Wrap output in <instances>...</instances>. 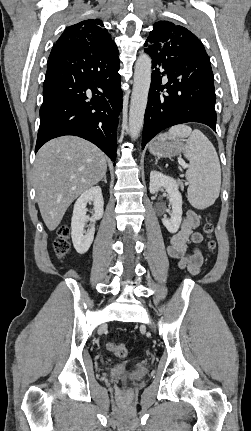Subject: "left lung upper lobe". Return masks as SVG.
Listing matches in <instances>:
<instances>
[{"label":"left lung upper lobe","mask_w":251,"mask_h":431,"mask_svg":"<svg viewBox=\"0 0 251 431\" xmlns=\"http://www.w3.org/2000/svg\"><path fill=\"white\" fill-rule=\"evenodd\" d=\"M149 37L160 41L162 44H167L168 46L176 45L180 47H189L203 56L208 57L203 44L193 33L171 22H156Z\"/></svg>","instance_id":"left-lung-upper-lobe-1"}]
</instances>
